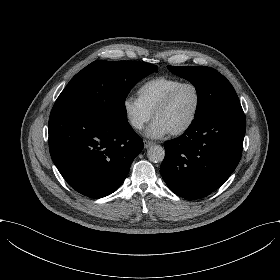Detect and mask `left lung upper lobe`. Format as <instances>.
<instances>
[{
	"label": "left lung upper lobe",
	"instance_id": "obj_1",
	"mask_svg": "<svg viewBox=\"0 0 280 280\" xmlns=\"http://www.w3.org/2000/svg\"><path fill=\"white\" fill-rule=\"evenodd\" d=\"M167 67L172 73L187 79L195 86L198 101L194 120L220 109L240 104L231 83L215 69L203 66Z\"/></svg>",
	"mask_w": 280,
	"mask_h": 280
}]
</instances>
